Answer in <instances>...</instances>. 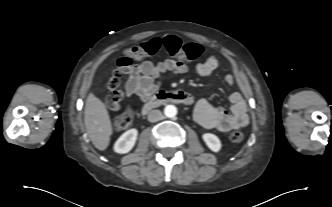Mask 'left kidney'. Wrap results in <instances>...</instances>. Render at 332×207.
I'll use <instances>...</instances> for the list:
<instances>
[{
	"label": "left kidney",
	"mask_w": 332,
	"mask_h": 207,
	"mask_svg": "<svg viewBox=\"0 0 332 207\" xmlns=\"http://www.w3.org/2000/svg\"><path fill=\"white\" fill-rule=\"evenodd\" d=\"M204 142L210 150L213 152H219L221 149V142L219 138L212 133H205L202 136Z\"/></svg>",
	"instance_id": "left-kidney-1"
}]
</instances>
